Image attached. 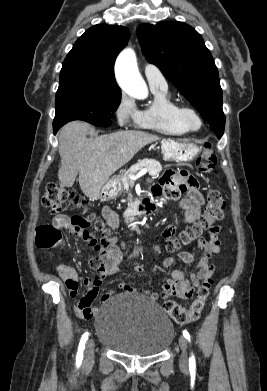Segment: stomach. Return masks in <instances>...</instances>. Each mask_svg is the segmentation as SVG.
Returning a JSON list of instances; mask_svg holds the SVG:
<instances>
[{"instance_id": "0dacf381", "label": "stomach", "mask_w": 267, "mask_h": 391, "mask_svg": "<svg viewBox=\"0 0 267 391\" xmlns=\"http://www.w3.org/2000/svg\"><path fill=\"white\" fill-rule=\"evenodd\" d=\"M161 150L164 160L175 162H188L199 153V147L191 142L163 141ZM122 191L121 176L109 179L100 189L99 198L109 200L117 197Z\"/></svg>"}]
</instances>
